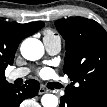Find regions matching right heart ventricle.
Masks as SVG:
<instances>
[{
  "mask_svg": "<svg viewBox=\"0 0 107 107\" xmlns=\"http://www.w3.org/2000/svg\"><path fill=\"white\" fill-rule=\"evenodd\" d=\"M56 36L51 30L45 31V37H54Z\"/></svg>",
  "mask_w": 107,
  "mask_h": 107,
  "instance_id": "1",
  "label": "right heart ventricle"
}]
</instances>
